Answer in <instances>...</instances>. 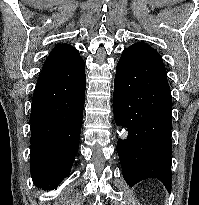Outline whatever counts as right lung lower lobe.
<instances>
[{
	"label": "right lung lower lobe",
	"mask_w": 199,
	"mask_h": 205,
	"mask_svg": "<svg viewBox=\"0 0 199 205\" xmlns=\"http://www.w3.org/2000/svg\"><path fill=\"white\" fill-rule=\"evenodd\" d=\"M85 70L54 88L39 79L32 98L31 176L36 186L54 189L69 175L79 148Z\"/></svg>",
	"instance_id": "right-lung-lower-lobe-1"
}]
</instances>
